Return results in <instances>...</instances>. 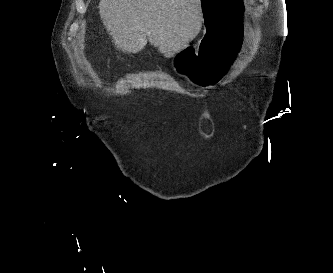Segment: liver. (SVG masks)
I'll return each instance as SVG.
<instances>
[{
  "label": "liver",
  "mask_w": 333,
  "mask_h": 273,
  "mask_svg": "<svg viewBox=\"0 0 333 273\" xmlns=\"http://www.w3.org/2000/svg\"><path fill=\"white\" fill-rule=\"evenodd\" d=\"M99 14L116 48L128 53L149 41L171 58L200 32L201 0H100Z\"/></svg>",
  "instance_id": "1"
}]
</instances>
